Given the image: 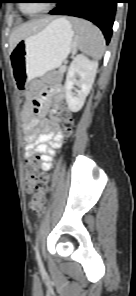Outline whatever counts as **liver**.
Instances as JSON below:
<instances>
[{
    "label": "liver",
    "instance_id": "liver-1",
    "mask_svg": "<svg viewBox=\"0 0 136 296\" xmlns=\"http://www.w3.org/2000/svg\"><path fill=\"white\" fill-rule=\"evenodd\" d=\"M51 20L50 17L42 18L37 20H32L27 23L22 24L18 28H16L11 36H10V50L12 51L15 45L22 39L36 33L40 29H42L45 25L49 23Z\"/></svg>",
    "mask_w": 136,
    "mask_h": 296
}]
</instances>
